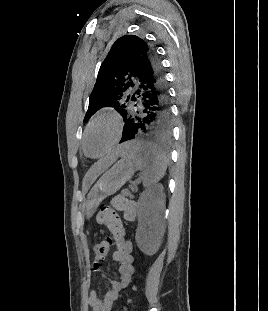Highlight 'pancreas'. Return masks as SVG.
<instances>
[{"label": "pancreas", "instance_id": "pancreas-1", "mask_svg": "<svg viewBox=\"0 0 268 311\" xmlns=\"http://www.w3.org/2000/svg\"><path fill=\"white\" fill-rule=\"evenodd\" d=\"M121 202H122L121 209L125 211L124 216L126 218H131L133 214L135 213V205H136L135 202L125 199L124 197H121Z\"/></svg>", "mask_w": 268, "mask_h": 311}]
</instances>
